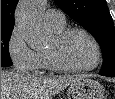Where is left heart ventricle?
Segmentation results:
<instances>
[{"instance_id": "left-heart-ventricle-1", "label": "left heart ventricle", "mask_w": 115, "mask_h": 99, "mask_svg": "<svg viewBox=\"0 0 115 99\" xmlns=\"http://www.w3.org/2000/svg\"><path fill=\"white\" fill-rule=\"evenodd\" d=\"M47 50L54 51L57 59L64 65L84 67L92 64L95 53L91 42L80 33L69 35L61 43L56 44L54 38Z\"/></svg>"}]
</instances>
